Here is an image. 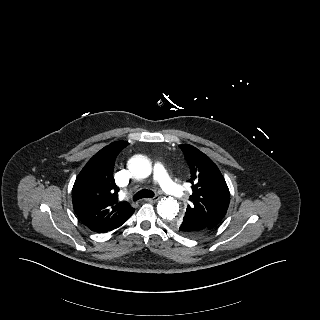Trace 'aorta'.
I'll return each instance as SVG.
<instances>
[{"instance_id": "obj_1", "label": "aorta", "mask_w": 320, "mask_h": 320, "mask_svg": "<svg viewBox=\"0 0 320 320\" xmlns=\"http://www.w3.org/2000/svg\"><path fill=\"white\" fill-rule=\"evenodd\" d=\"M128 169L137 179H145L152 173L150 160L143 155H134L128 161ZM158 214L167 221H173L179 211V203L173 197L161 199L157 204Z\"/></svg>"}]
</instances>
